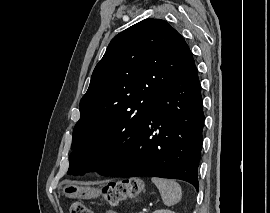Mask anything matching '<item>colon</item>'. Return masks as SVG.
<instances>
[{
  "label": "colon",
  "mask_w": 270,
  "mask_h": 213,
  "mask_svg": "<svg viewBox=\"0 0 270 213\" xmlns=\"http://www.w3.org/2000/svg\"><path fill=\"white\" fill-rule=\"evenodd\" d=\"M143 188L141 180L136 178L108 183L103 190L104 198L111 205H117L120 201L137 196ZM70 213H92L83 203H74Z\"/></svg>",
  "instance_id": "1"
}]
</instances>
